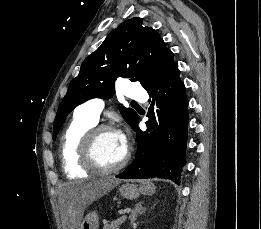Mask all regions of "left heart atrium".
I'll use <instances>...</instances> for the list:
<instances>
[{"label":"left heart atrium","instance_id":"39dd6f15","mask_svg":"<svg viewBox=\"0 0 261 229\" xmlns=\"http://www.w3.org/2000/svg\"><path fill=\"white\" fill-rule=\"evenodd\" d=\"M117 134H118L119 139H120V141L122 143V146L125 149H127V147H128V139H127L126 134L124 132H122V131L117 132Z\"/></svg>","mask_w":261,"mask_h":229}]
</instances>
